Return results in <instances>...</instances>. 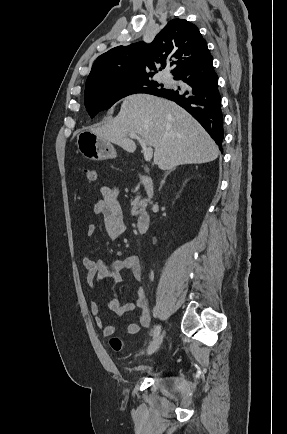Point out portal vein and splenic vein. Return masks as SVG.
I'll use <instances>...</instances> for the list:
<instances>
[{
  "instance_id": "18ae733b",
  "label": "portal vein and splenic vein",
  "mask_w": 287,
  "mask_h": 434,
  "mask_svg": "<svg viewBox=\"0 0 287 434\" xmlns=\"http://www.w3.org/2000/svg\"><path fill=\"white\" fill-rule=\"evenodd\" d=\"M130 138L133 139H137L142 147V151H143V155H144V159L145 161L149 162L152 159L153 156V149L150 146H147L146 142L144 139L140 138L137 134L135 133H129L128 134Z\"/></svg>"
}]
</instances>
